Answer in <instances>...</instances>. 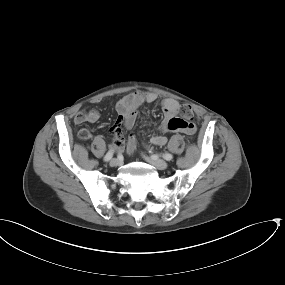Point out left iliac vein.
<instances>
[{
    "mask_svg": "<svg viewBox=\"0 0 285 285\" xmlns=\"http://www.w3.org/2000/svg\"><path fill=\"white\" fill-rule=\"evenodd\" d=\"M145 160L155 166L159 170H164L168 167L165 160L158 158L157 156L144 157Z\"/></svg>",
    "mask_w": 285,
    "mask_h": 285,
    "instance_id": "1",
    "label": "left iliac vein"
}]
</instances>
